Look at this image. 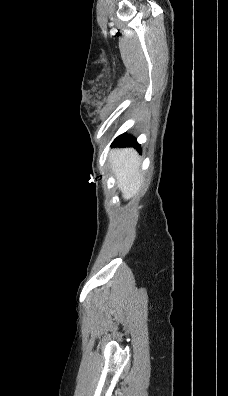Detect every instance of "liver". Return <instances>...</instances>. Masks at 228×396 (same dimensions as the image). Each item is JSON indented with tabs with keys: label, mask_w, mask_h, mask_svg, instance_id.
<instances>
[{
	"label": "liver",
	"mask_w": 228,
	"mask_h": 396,
	"mask_svg": "<svg viewBox=\"0 0 228 396\" xmlns=\"http://www.w3.org/2000/svg\"><path fill=\"white\" fill-rule=\"evenodd\" d=\"M109 161L123 198H132L139 191L143 180L139 172L141 160L138 153L132 148L113 149Z\"/></svg>",
	"instance_id": "6515ba94"
}]
</instances>
